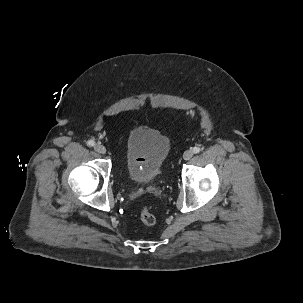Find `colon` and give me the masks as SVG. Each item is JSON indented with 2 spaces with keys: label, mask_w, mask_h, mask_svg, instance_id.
<instances>
[{
  "label": "colon",
  "mask_w": 303,
  "mask_h": 303,
  "mask_svg": "<svg viewBox=\"0 0 303 303\" xmlns=\"http://www.w3.org/2000/svg\"><path fill=\"white\" fill-rule=\"evenodd\" d=\"M140 219L146 226H153L156 224V218L148 207H143L140 211Z\"/></svg>",
  "instance_id": "5ec220e1"
}]
</instances>
